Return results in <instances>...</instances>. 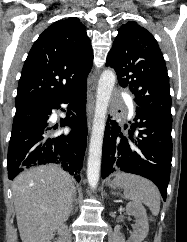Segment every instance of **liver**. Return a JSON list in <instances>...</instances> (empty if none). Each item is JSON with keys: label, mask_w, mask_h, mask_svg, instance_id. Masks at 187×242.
I'll list each match as a JSON object with an SVG mask.
<instances>
[{"label": "liver", "mask_w": 187, "mask_h": 242, "mask_svg": "<svg viewBox=\"0 0 187 242\" xmlns=\"http://www.w3.org/2000/svg\"><path fill=\"white\" fill-rule=\"evenodd\" d=\"M75 191L72 177L52 164L19 174L12 192L22 242H39L61 226L71 213Z\"/></svg>", "instance_id": "1"}]
</instances>
